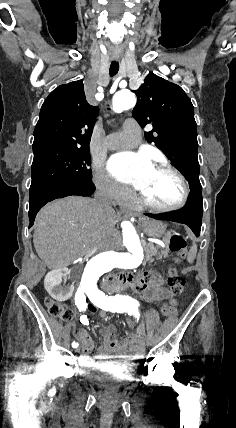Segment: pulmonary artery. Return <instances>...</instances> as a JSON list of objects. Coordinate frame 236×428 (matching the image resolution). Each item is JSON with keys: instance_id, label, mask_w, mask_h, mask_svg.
<instances>
[{"instance_id": "pulmonary-artery-1", "label": "pulmonary artery", "mask_w": 236, "mask_h": 428, "mask_svg": "<svg viewBox=\"0 0 236 428\" xmlns=\"http://www.w3.org/2000/svg\"><path fill=\"white\" fill-rule=\"evenodd\" d=\"M124 135V132H118L116 134H113L112 137H117V136H122ZM135 145L131 142H126V143H114V142H108L107 143V147L110 149H125V148H130V147H134Z\"/></svg>"}]
</instances>
